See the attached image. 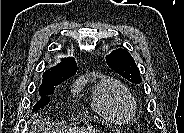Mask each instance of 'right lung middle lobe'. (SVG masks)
<instances>
[{
	"label": "right lung middle lobe",
	"instance_id": "right-lung-middle-lobe-1",
	"mask_svg": "<svg viewBox=\"0 0 184 133\" xmlns=\"http://www.w3.org/2000/svg\"><path fill=\"white\" fill-rule=\"evenodd\" d=\"M62 82H55L50 84L49 86L39 89V94L41 96V99L36 103V105L33 107V111L39 110L40 108L44 107L50 102L49 97L47 95L53 94L55 90V86L59 85Z\"/></svg>",
	"mask_w": 184,
	"mask_h": 133
}]
</instances>
